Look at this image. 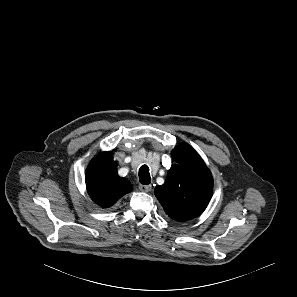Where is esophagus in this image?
Returning <instances> with one entry per match:
<instances>
[{
    "label": "esophagus",
    "mask_w": 297,
    "mask_h": 297,
    "mask_svg": "<svg viewBox=\"0 0 297 297\" xmlns=\"http://www.w3.org/2000/svg\"><path fill=\"white\" fill-rule=\"evenodd\" d=\"M139 189L142 192H149L151 190V185H139Z\"/></svg>",
    "instance_id": "34e87169"
}]
</instances>
